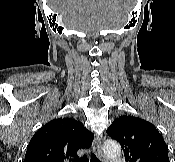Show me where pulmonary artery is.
<instances>
[{"mask_svg": "<svg viewBox=\"0 0 175 162\" xmlns=\"http://www.w3.org/2000/svg\"><path fill=\"white\" fill-rule=\"evenodd\" d=\"M111 162H125V161L121 158H117V159L111 160Z\"/></svg>", "mask_w": 175, "mask_h": 162, "instance_id": "e3ab8cb5", "label": "pulmonary artery"}]
</instances>
